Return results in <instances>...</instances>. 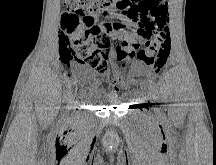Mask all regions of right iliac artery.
<instances>
[{
  "mask_svg": "<svg viewBox=\"0 0 216 165\" xmlns=\"http://www.w3.org/2000/svg\"><path fill=\"white\" fill-rule=\"evenodd\" d=\"M73 99H74V98L71 96L69 99H67V100L64 102V105H65V106H68L69 104L72 103Z\"/></svg>",
  "mask_w": 216,
  "mask_h": 165,
  "instance_id": "82829eb1",
  "label": "right iliac artery"
}]
</instances>
